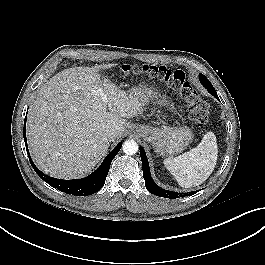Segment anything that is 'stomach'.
Masks as SVG:
<instances>
[{
  "label": "stomach",
  "mask_w": 265,
  "mask_h": 265,
  "mask_svg": "<svg viewBox=\"0 0 265 265\" xmlns=\"http://www.w3.org/2000/svg\"><path fill=\"white\" fill-rule=\"evenodd\" d=\"M132 93L144 105L151 100H155L160 106L175 112V106L165 95L158 92L153 86L140 82ZM136 132L147 142H150L159 155H173L182 152L193 140L192 130L187 126H167L152 127L139 125Z\"/></svg>",
  "instance_id": "obj_1"
}]
</instances>
